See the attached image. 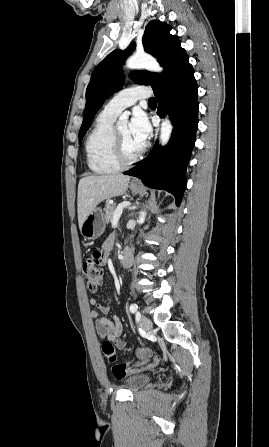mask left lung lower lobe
Here are the masks:
<instances>
[{
    "instance_id": "obj_1",
    "label": "left lung lower lobe",
    "mask_w": 269,
    "mask_h": 447,
    "mask_svg": "<svg viewBox=\"0 0 269 447\" xmlns=\"http://www.w3.org/2000/svg\"><path fill=\"white\" fill-rule=\"evenodd\" d=\"M182 52L166 82L154 91L158 101L157 114L162 117L169 107L174 129L163 154L155 144L140 164L124 172L138 177L150 187L163 189L175 196L179 205L186 187L185 171L195 143L198 126V86L194 70Z\"/></svg>"
}]
</instances>
